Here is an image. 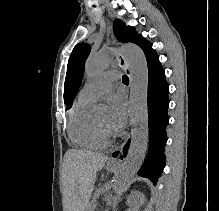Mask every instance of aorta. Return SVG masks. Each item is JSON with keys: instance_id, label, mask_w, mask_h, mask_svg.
<instances>
[{"instance_id": "obj_1", "label": "aorta", "mask_w": 219, "mask_h": 211, "mask_svg": "<svg viewBox=\"0 0 219 211\" xmlns=\"http://www.w3.org/2000/svg\"><path fill=\"white\" fill-rule=\"evenodd\" d=\"M114 49H103L90 56L85 64L87 77H94L104 71L112 61ZM120 52L130 66V118L133 124L131 143L127 157L115 176L112 188L115 192L123 189L141 167L148 147V65L143 51L135 44H125ZM107 107L99 104L96 112L103 113Z\"/></svg>"}]
</instances>
